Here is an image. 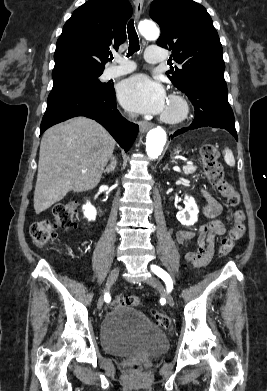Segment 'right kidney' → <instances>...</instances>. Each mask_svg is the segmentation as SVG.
<instances>
[{
	"mask_svg": "<svg viewBox=\"0 0 267 391\" xmlns=\"http://www.w3.org/2000/svg\"><path fill=\"white\" fill-rule=\"evenodd\" d=\"M84 216L88 219V221H94L96 219L97 211L94 206L91 205L89 201L83 205Z\"/></svg>",
	"mask_w": 267,
	"mask_h": 391,
	"instance_id": "right-kidney-1",
	"label": "right kidney"
}]
</instances>
